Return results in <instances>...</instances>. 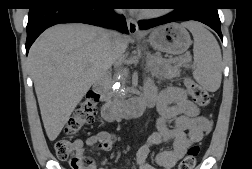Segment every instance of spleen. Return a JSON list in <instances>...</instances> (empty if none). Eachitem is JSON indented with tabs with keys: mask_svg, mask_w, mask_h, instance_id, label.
<instances>
[{
	"mask_svg": "<svg viewBox=\"0 0 252 169\" xmlns=\"http://www.w3.org/2000/svg\"><path fill=\"white\" fill-rule=\"evenodd\" d=\"M184 26L189 29L194 39L193 77L205 90L215 92L222 80V56L219 44L200 23L187 22Z\"/></svg>",
	"mask_w": 252,
	"mask_h": 169,
	"instance_id": "obj_1",
	"label": "spleen"
}]
</instances>
